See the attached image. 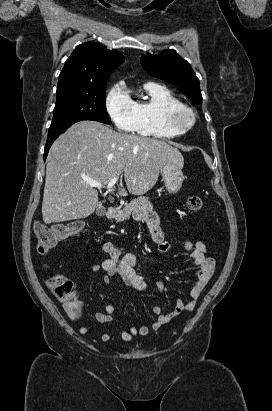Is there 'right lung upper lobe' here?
<instances>
[{
  "mask_svg": "<svg viewBox=\"0 0 272 411\" xmlns=\"http://www.w3.org/2000/svg\"><path fill=\"white\" fill-rule=\"evenodd\" d=\"M123 61V55L117 50H108L94 42L78 45L59 75L57 92L105 84Z\"/></svg>",
  "mask_w": 272,
  "mask_h": 411,
  "instance_id": "obj_1",
  "label": "right lung upper lobe"
}]
</instances>
